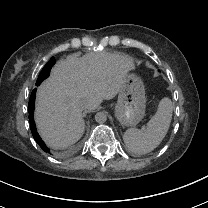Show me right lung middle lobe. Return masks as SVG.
Here are the masks:
<instances>
[{
  "instance_id": "1",
  "label": "right lung middle lobe",
  "mask_w": 208,
  "mask_h": 208,
  "mask_svg": "<svg viewBox=\"0 0 208 208\" xmlns=\"http://www.w3.org/2000/svg\"><path fill=\"white\" fill-rule=\"evenodd\" d=\"M44 68L42 69L41 73L39 74V77L37 79V82H36V86H38V83H40L41 81H43L45 79V74H44Z\"/></svg>"
}]
</instances>
